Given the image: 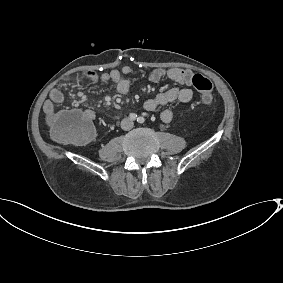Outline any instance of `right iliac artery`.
Wrapping results in <instances>:
<instances>
[{
  "label": "right iliac artery",
  "mask_w": 283,
  "mask_h": 283,
  "mask_svg": "<svg viewBox=\"0 0 283 283\" xmlns=\"http://www.w3.org/2000/svg\"><path fill=\"white\" fill-rule=\"evenodd\" d=\"M129 118H130L131 120H135V119L137 118V115H136L135 113H130V114H129Z\"/></svg>",
  "instance_id": "obj_1"
}]
</instances>
